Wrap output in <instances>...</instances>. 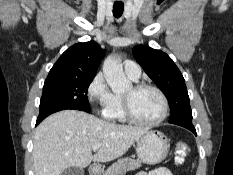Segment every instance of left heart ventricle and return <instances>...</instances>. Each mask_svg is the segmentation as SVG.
<instances>
[{
  "instance_id": "b2bd125f",
  "label": "left heart ventricle",
  "mask_w": 233,
  "mask_h": 175,
  "mask_svg": "<svg viewBox=\"0 0 233 175\" xmlns=\"http://www.w3.org/2000/svg\"><path fill=\"white\" fill-rule=\"evenodd\" d=\"M123 96L130 99L133 113L141 120H155L162 113V101L153 90L146 89L135 92L131 87Z\"/></svg>"
}]
</instances>
